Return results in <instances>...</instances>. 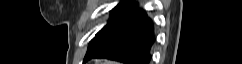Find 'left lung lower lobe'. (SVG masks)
Wrapping results in <instances>:
<instances>
[{
    "mask_svg": "<svg viewBox=\"0 0 242 64\" xmlns=\"http://www.w3.org/2000/svg\"><path fill=\"white\" fill-rule=\"evenodd\" d=\"M132 0H121L108 24L89 43L84 62L106 58L125 64H149L154 43L153 23Z\"/></svg>",
    "mask_w": 242,
    "mask_h": 64,
    "instance_id": "obj_1",
    "label": "left lung lower lobe"
}]
</instances>
